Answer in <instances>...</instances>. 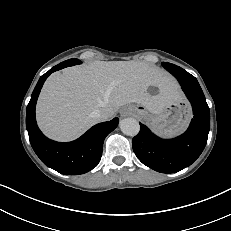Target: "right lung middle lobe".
I'll use <instances>...</instances> for the list:
<instances>
[{
    "label": "right lung middle lobe",
    "mask_w": 231,
    "mask_h": 231,
    "mask_svg": "<svg viewBox=\"0 0 231 231\" xmlns=\"http://www.w3.org/2000/svg\"><path fill=\"white\" fill-rule=\"evenodd\" d=\"M81 62L76 59V58H73V59H69V60H66L60 64H68V66H72V65H76V64H80Z\"/></svg>",
    "instance_id": "obj_1"
}]
</instances>
